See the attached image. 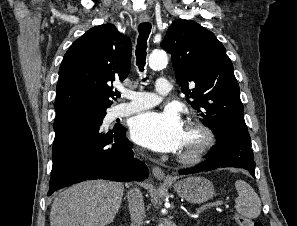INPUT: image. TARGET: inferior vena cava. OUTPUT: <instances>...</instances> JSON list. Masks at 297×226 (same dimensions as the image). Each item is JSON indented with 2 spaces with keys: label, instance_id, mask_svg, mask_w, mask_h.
I'll list each match as a JSON object with an SVG mask.
<instances>
[{
  "label": "inferior vena cava",
  "instance_id": "1",
  "mask_svg": "<svg viewBox=\"0 0 297 226\" xmlns=\"http://www.w3.org/2000/svg\"><path fill=\"white\" fill-rule=\"evenodd\" d=\"M131 226H140L145 218L143 197L139 189H132L127 194Z\"/></svg>",
  "mask_w": 297,
  "mask_h": 226
}]
</instances>
